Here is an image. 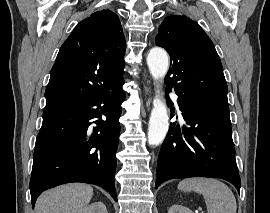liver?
<instances>
[{
	"label": "liver",
	"instance_id": "liver-1",
	"mask_svg": "<svg viewBox=\"0 0 270 213\" xmlns=\"http://www.w3.org/2000/svg\"><path fill=\"white\" fill-rule=\"evenodd\" d=\"M92 196L93 188L89 185H62L39 196L35 213H78L87 206Z\"/></svg>",
	"mask_w": 270,
	"mask_h": 213
}]
</instances>
